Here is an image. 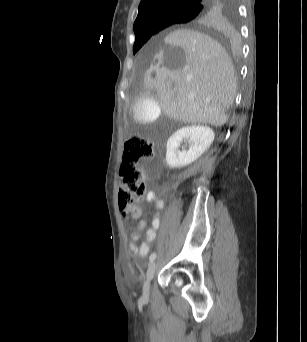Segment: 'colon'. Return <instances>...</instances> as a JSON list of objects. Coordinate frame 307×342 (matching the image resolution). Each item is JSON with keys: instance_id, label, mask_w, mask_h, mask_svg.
<instances>
[{"instance_id": "5ec220e1", "label": "colon", "mask_w": 307, "mask_h": 342, "mask_svg": "<svg viewBox=\"0 0 307 342\" xmlns=\"http://www.w3.org/2000/svg\"><path fill=\"white\" fill-rule=\"evenodd\" d=\"M154 155V144L136 135L124 145L118 185V203L125 217L137 216V207L145 191L147 179L138 161H148Z\"/></svg>"}]
</instances>
